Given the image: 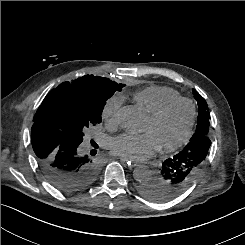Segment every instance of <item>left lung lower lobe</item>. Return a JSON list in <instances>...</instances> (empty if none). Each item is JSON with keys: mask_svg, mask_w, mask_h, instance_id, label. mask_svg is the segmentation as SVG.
Segmentation results:
<instances>
[{"mask_svg": "<svg viewBox=\"0 0 245 245\" xmlns=\"http://www.w3.org/2000/svg\"><path fill=\"white\" fill-rule=\"evenodd\" d=\"M210 145L208 136L190 140L181 152L164 161L158 175L139 187L141 194L155 202L177 197L199 174Z\"/></svg>", "mask_w": 245, "mask_h": 245, "instance_id": "1", "label": "left lung lower lobe"}]
</instances>
